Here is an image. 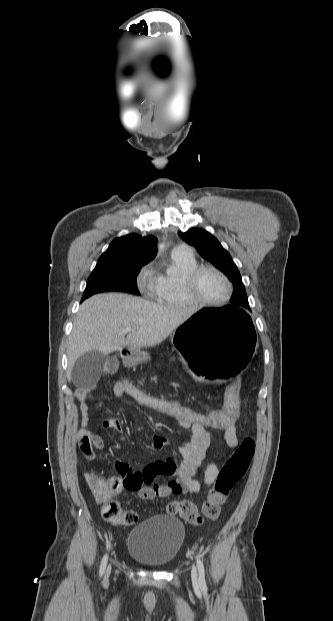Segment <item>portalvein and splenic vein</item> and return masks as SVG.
<instances>
[{"label": "portal vein and splenic vein", "mask_w": 333, "mask_h": 621, "mask_svg": "<svg viewBox=\"0 0 333 621\" xmlns=\"http://www.w3.org/2000/svg\"><path fill=\"white\" fill-rule=\"evenodd\" d=\"M131 331H132V328L128 327V328L123 329L122 333L125 334V333L131 332Z\"/></svg>", "instance_id": "1"}]
</instances>
